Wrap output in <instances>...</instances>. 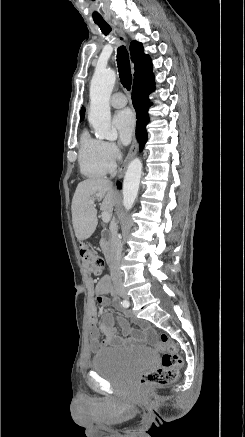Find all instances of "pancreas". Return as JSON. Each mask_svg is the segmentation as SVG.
Wrapping results in <instances>:
<instances>
[{
    "label": "pancreas",
    "mask_w": 245,
    "mask_h": 437,
    "mask_svg": "<svg viewBox=\"0 0 245 437\" xmlns=\"http://www.w3.org/2000/svg\"><path fill=\"white\" fill-rule=\"evenodd\" d=\"M106 241L105 240H101V242H100V246L102 247V248H105V246H106Z\"/></svg>",
    "instance_id": "1"
}]
</instances>
